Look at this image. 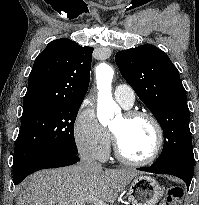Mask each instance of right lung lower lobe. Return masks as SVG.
<instances>
[{"mask_svg":"<svg viewBox=\"0 0 199 205\" xmlns=\"http://www.w3.org/2000/svg\"><path fill=\"white\" fill-rule=\"evenodd\" d=\"M79 161L76 155L52 151L39 154L27 161L13 166V182L18 185L29 174L46 168L69 166Z\"/></svg>","mask_w":199,"mask_h":205,"instance_id":"right-lung-lower-lobe-1","label":"right lung lower lobe"}]
</instances>
